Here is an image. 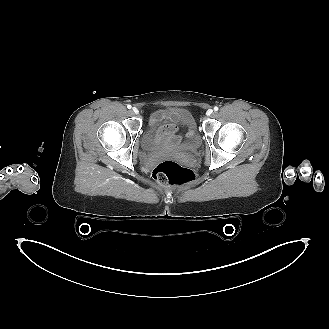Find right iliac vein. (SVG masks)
<instances>
[{
	"label": "right iliac vein",
	"mask_w": 329,
	"mask_h": 329,
	"mask_svg": "<svg viewBox=\"0 0 329 329\" xmlns=\"http://www.w3.org/2000/svg\"><path fill=\"white\" fill-rule=\"evenodd\" d=\"M132 111L135 113V114H139V110L137 108H133Z\"/></svg>",
	"instance_id": "63e3f726"
}]
</instances>
